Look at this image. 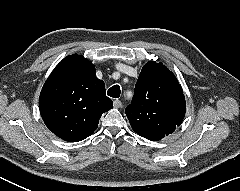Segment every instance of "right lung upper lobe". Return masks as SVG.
I'll return each instance as SVG.
<instances>
[{"instance_id": "obj_1", "label": "right lung upper lobe", "mask_w": 240, "mask_h": 191, "mask_svg": "<svg viewBox=\"0 0 240 191\" xmlns=\"http://www.w3.org/2000/svg\"><path fill=\"white\" fill-rule=\"evenodd\" d=\"M40 114L58 137L77 142L98 127L102 113L113 108L94 65L82 55L65 57L46 80L39 97Z\"/></svg>"}]
</instances>
